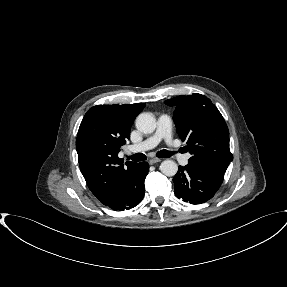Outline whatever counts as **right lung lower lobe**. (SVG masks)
Masks as SVG:
<instances>
[{
    "label": "right lung lower lobe",
    "instance_id": "1",
    "mask_svg": "<svg viewBox=\"0 0 287 287\" xmlns=\"http://www.w3.org/2000/svg\"><path fill=\"white\" fill-rule=\"evenodd\" d=\"M148 171L147 162L136 163L102 203L115 211L128 210L138 205L144 197V181Z\"/></svg>",
    "mask_w": 287,
    "mask_h": 287
}]
</instances>
